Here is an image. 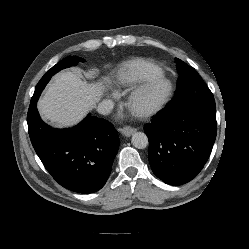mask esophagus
<instances>
[{"label": "esophagus", "instance_id": "esophagus-1", "mask_svg": "<svg viewBox=\"0 0 249 249\" xmlns=\"http://www.w3.org/2000/svg\"><path fill=\"white\" fill-rule=\"evenodd\" d=\"M136 131L135 128L129 127V126H125L123 127L120 132L122 133V135L129 137L131 136L134 132Z\"/></svg>", "mask_w": 249, "mask_h": 249}]
</instances>
